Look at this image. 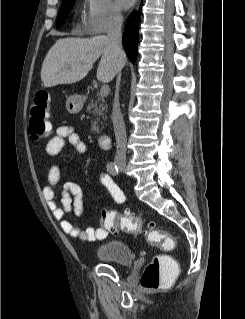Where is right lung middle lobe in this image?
<instances>
[{
    "mask_svg": "<svg viewBox=\"0 0 245 319\" xmlns=\"http://www.w3.org/2000/svg\"><path fill=\"white\" fill-rule=\"evenodd\" d=\"M75 0H63L62 8L57 20V27L62 26L65 23V19L72 8Z\"/></svg>",
    "mask_w": 245,
    "mask_h": 319,
    "instance_id": "right-lung-middle-lobe-1",
    "label": "right lung middle lobe"
}]
</instances>
